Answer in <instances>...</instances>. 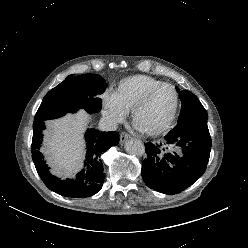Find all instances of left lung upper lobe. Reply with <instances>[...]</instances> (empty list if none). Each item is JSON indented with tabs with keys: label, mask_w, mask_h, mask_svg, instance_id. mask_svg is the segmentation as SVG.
I'll return each mask as SVG.
<instances>
[{
	"label": "left lung upper lobe",
	"mask_w": 248,
	"mask_h": 248,
	"mask_svg": "<svg viewBox=\"0 0 248 248\" xmlns=\"http://www.w3.org/2000/svg\"><path fill=\"white\" fill-rule=\"evenodd\" d=\"M176 89L182 102L178 123L208 119L206 110L194 94L186 90L180 91L178 88Z\"/></svg>",
	"instance_id": "obj_1"
}]
</instances>
